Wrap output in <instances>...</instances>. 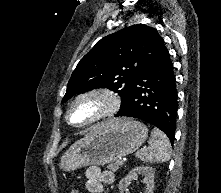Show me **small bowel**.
I'll return each mask as SVG.
<instances>
[{
  "label": "small bowel",
  "instance_id": "1",
  "mask_svg": "<svg viewBox=\"0 0 221 193\" xmlns=\"http://www.w3.org/2000/svg\"><path fill=\"white\" fill-rule=\"evenodd\" d=\"M86 188L90 193H103L106 185L114 182V175L109 170L90 166L85 170ZM72 193H76L73 191Z\"/></svg>",
  "mask_w": 221,
  "mask_h": 193
}]
</instances>
